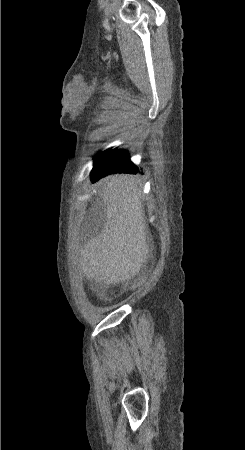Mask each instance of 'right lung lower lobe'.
<instances>
[{"label": "right lung lower lobe", "mask_w": 245, "mask_h": 450, "mask_svg": "<svg viewBox=\"0 0 245 450\" xmlns=\"http://www.w3.org/2000/svg\"><path fill=\"white\" fill-rule=\"evenodd\" d=\"M138 168L130 161L128 152L120 150L113 151L107 154L104 159L95 166L91 171V180L95 182L102 177L112 173H133L135 174Z\"/></svg>", "instance_id": "1"}]
</instances>
